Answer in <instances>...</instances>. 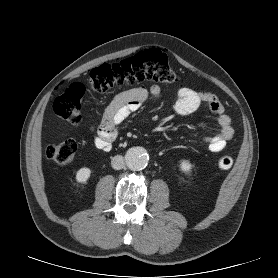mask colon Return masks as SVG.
Returning a JSON list of instances; mask_svg holds the SVG:
<instances>
[{"mask_svg":"<svg viewBox=\"0 0 278 278\" xmlns=\"http://www.w3.org/2000/svg\"><path fill=\"white\" fill-rule=\"evenodd\" d=\"M146 81L178 83L179 75L171 67L167 54L160 49H149L112 64H102L91 71L88 87L93 92H105L114 86L136 85ZM86 92L85 85L74 83L69 86L53 104L55 114L71 123L81 121V103ZM77 151L74 140H66L50 145L46 156L58 165L70 163ZM217 164L221 169H229L233 159L229 155L219 157Z\"/></svg>","mask_w":278,"mask_h":278,"instance_id":"colon-1","label":"colon"}]
</instances>
